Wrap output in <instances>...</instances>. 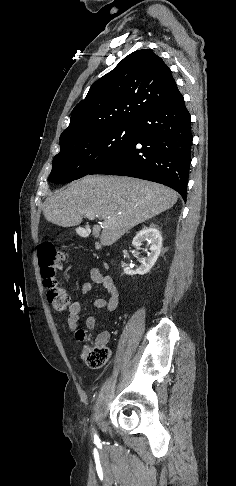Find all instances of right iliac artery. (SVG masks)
<instances>
[{
  "label": "right iliac artery",
  "instance_id": "obj_1",
  "mask_svg": "<svg viewBox=\"0 0 236 486\" xmlns=\"http://www.w3.org/2000/svg\"><path fill=\"white\" fill-rule=\"evenodd\" d=\"M94 439L95 441H98V436L96 434L94 435Z\"/></svg>",
  "mask_w": 236,
  "mask_h": 486
}]
</instances>
